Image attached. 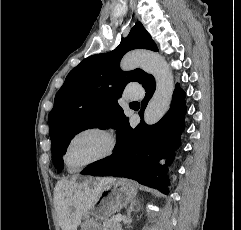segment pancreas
I'll list each match as a JSON object with an SVG mask.
<instances>
[{"instance_id": "pancreas-1", "label": "pancreas", "mask_w": 241, "mask_h": 230, "mask_svg": "<svg viewBox=\"0 0 241 230\" xmlns=\"http://www.w3.org/2000/svg\"><path fill=\"white\" fill-rule=\"evenodd\" d=\"M105 230H122V226L116 217L113 216L104 223Z\"/></svg>"}]
</instances>
